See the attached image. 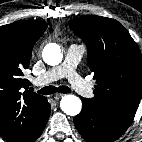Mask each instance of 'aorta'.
<instances>
[{
  "mask_svg": "<svg viewBox=\"0 0 142 142\" xmlns=\"http://www.w3.org/2000/svg\"><path fill=\"white\" fill-rule=\"evenodd\" d=\"M42 57L46 64L55 66L61 63L63 53L59 45L50 43L44 47ZM60 108L65 114L76 116L82 109V102L75 95H66L60 101Z\"/></svg>",
  "mask_w": 142,
  "mask_h": 142,
  "instance_id": "762f6f07",
  "label": "aorta"
}]
</instances>
